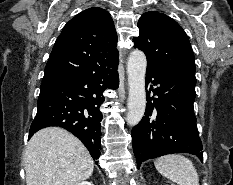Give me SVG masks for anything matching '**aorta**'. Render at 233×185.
<instances>
[{
	"instance_id": "762f6f07",
	"label": "aorta",
	"mask_w": 233,
	"mask_h": 185,
	"mask_svg": "<svg viewBox=\"0 0 233 185\" xmlns=\"http://www.w3.org/2000/svg\"><path fill=\"white\" fill-rule=\"evenodd\" d=\"M147 60L145 54L140 50H133L130 53L127 63L129 96L128 113L126 117L127 124L137 125L145 112L146 91H145V73Z\"/></svg>"
}]
</instances>
